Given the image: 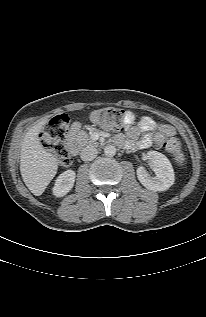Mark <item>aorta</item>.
<instances>
[{"label": "aorta", "mask_w": 206, "mask_h": 317, "mask_svg": "<svg viewBox=\"0 0 206 317\" xmlns=\"http://www.w3.org/2000/svg\"><path fill=\"white\" fill-rule=\"evenodd\" d=\"M104 153L106 156L113 157L116 154V147L113 145H107L104 148Z\"/></svg>", "instance_id": "1"}]
</instances>
